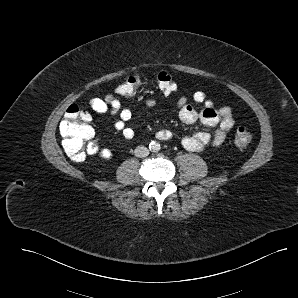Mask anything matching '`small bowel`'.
Wrapping results in <instances>:
<instances>
[{"label":"small bowel","instance_id":"c3829d8e","mask_svg":"<svg viewBox=\"0 0 298 298\" xmlns=\"http://www.w3.org/2000/svg\"><path fill=\"white\" fill-rule=\"evenodd\" d=\"M193 101L195 104L202 106V108L196 110L189 104L185 96L178 98L176 106L180 120L187 124L200 121L204 125L216 127V129L213 133L196 132L184 136L181 139L182 146L192 152L201 151L208 145L220 146L226 140L229 131L234 126L231 109L228 106L216 107L214 102L208 99L202 91H197L193 94ZM88 105L98 114H110L114 116V127L125 139H132L134 137V129L127 125V122L132 118V111L128 108H123L119 99L113 95L96 97L90 99ZM145 106L148 108L155 107L156 101L148 99L145 101ZM156 136L161 140H170L174 134L170 130L162 129L156 133ZM91 154L105 159L112 157V152L100 145H97L91 151Z\"/></svg>","mask_w":298,"mask_h":298}]
</instances>
